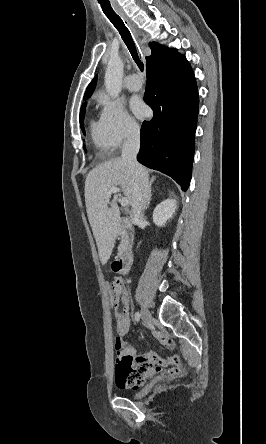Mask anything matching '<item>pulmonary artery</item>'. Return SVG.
Returning a JSON list of instances; mask_svg holds the SVG:
<instances>
[{"label": "pulmonary artery", "mask_w": 266, "mask_h": 444, "mask_svg": "<svg viewBox=\"0 0 266 444\" xmlns=\"http://www.w3.org/2000/svg\"><path fill=\"white\" fill-rule=\"evenodd\" d=\"M126 85L131 91H139L142 88V81L138 74L133 73L129 75Z\"/></svg>", "instance_id": "e3ab8cb5"}]
</instances>
